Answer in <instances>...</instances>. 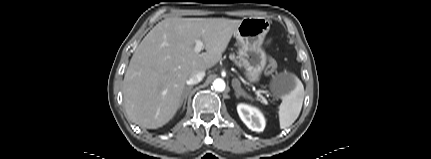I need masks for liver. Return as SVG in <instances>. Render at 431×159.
Instances as JSON below:
<instances>
[{
	"mask_svg": "<svg viewBox=\"0 0 431 159\" xmlns=\"http://www.w3.org/2000/svg\"><path fill=\"white\" fill-rule=\"evenodd\" d=\"M241 20L167 18L136 48L124 76L123 100L136 124L156 129L168 123L180 107L186 80L215 66ZM197 40L205 52L195 53Z\"/></svg>",
	"mask_w": 431,
	"mask_h": 159,
	"instance_id": "liver-1",
	"label": "liver"
}]
</instances>
